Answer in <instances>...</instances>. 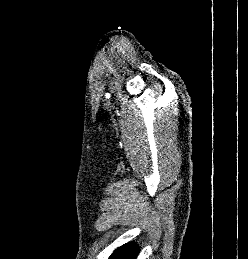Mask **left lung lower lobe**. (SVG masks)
Wrapping results in <instances>:
<instances>
[{"label":"left lung lower lobe","mask_w":248,"mask_h":259,"mask_svg":"<svg viewBox=\"0 0 248 259\" xmlns=\"http://www.w3.org/2000/svg\"><path fill=\"white\" fill-rule=\"evenodd\" d=\"M138 253L139 251L135 244H125L117 248L109 259H136Z\"/></svg>","instance_id":"obj_1"}]
</instances>
